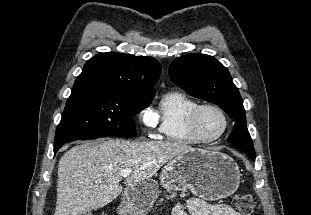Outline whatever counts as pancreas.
<instances>
[{
	"label": "pancreas",
	"instance_id": "obj_1",
	"mask_svg": "<svg viewBox=\"0 0 311 215\" xmlns=\"http://www.w3.org/2000/svg\"><path fill=\"white\" fill-rule=\"evenodd\" d=\"M165 197L167 198V199H174L175 197H176V193H172V194H170V195H165ZM163 198H161L159 201H158V203L156 204V205H158V204H160L161 202H163Z\"/></svg>",
	"mask_w": 311,
	"mask_h": 215
}]
</instances>
